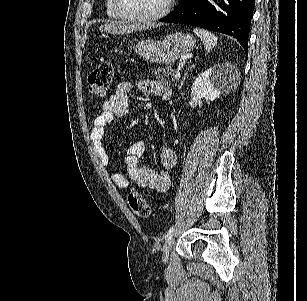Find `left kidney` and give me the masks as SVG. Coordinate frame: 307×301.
<instances>
[{
  "instance_id": "1",
  "label": "left kidney",
  "mask_w": 307,
  "mask_h": 301,
  "mask_svg": "<svg viewBox=\"0 0 307 301\" xmlns=\"http://www.w3.org/2000/svg\"><path fill=\"white\" fill-rule=\"evenodd\" d=\"M239 72L232 62H218L195 78L191 94L205 96L208 100H215L220 94L231 90Z\"/></svg>"
}]
</instances>
